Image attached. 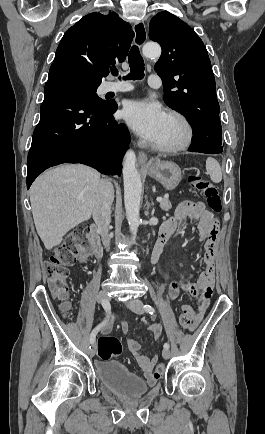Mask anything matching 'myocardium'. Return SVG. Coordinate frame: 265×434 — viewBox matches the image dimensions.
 Segmentation results:
<instances>
[{"instance_id": "1", "label": "myocardium", "mask_w": 265, "mask_h": 434, "mask_svg": "<svg viewBox=\"0 0 265 434\" xmlns=\"http://www.w3.org/2000/svg\"><path fill=\"white\" fill-rule=\"evenodd\" d=\"M167 118L178 123L181 129L179 140L170 146H158L152 144V149L160 154L174 155L186 150L193 139V127L188 118L177 110H170L167 113Z\"/></svg>"}]
</instances>
